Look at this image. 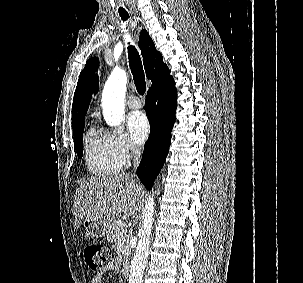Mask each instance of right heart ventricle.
I'll return each instance as SVG.
<instances>
[{
    "mask_svg": "<svg viewBox=\"0 0 303 283\" xmlns=\"http://www.w3.org/2000/svg\"><path fill=\"white\" fill-rule=\"evenodd\" d=\"M85 159L90 172L98 176H111L122 168L108 149L103 136H98L93 128L85 136Z\"/></svg>",
    "mask_w": 303,
    "mask_h": 283,
    "instance_id": "right-heart-ventricle-1",
    "label": "right heart ventricle"
}]
</instances>
